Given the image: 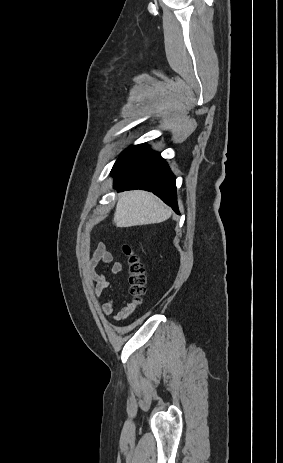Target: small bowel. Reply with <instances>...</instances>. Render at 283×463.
<instances>
[{"label":"small bowel","mask_w":283,"mask_h":463,"mask_svg":"<svg viewBox=\"0 0 283 463\" xmlns=\"http://www.w3.org/2000/svg\"><path fill=\"white\" fill-rule=\"evenodd\" d=\"M100 263L109 267L111 272L114 274H120L123 270L122 264L118 261H114L113 255L107 250L106 245L103 242H99L92 252L87 264L89 274L94 281L93 293L97 298L101 296L105 289L111 286V283L106 278L105 274H98L96 271V268ZM116 305L117 300L115 298H110L102 305L101 311L107 317H114L118 319L131 309V305H127L119 313L113 315Z\"/></svg>","instance_id":"obj_1"}]
</instances>
